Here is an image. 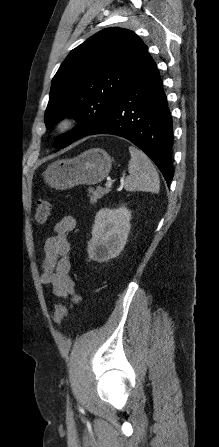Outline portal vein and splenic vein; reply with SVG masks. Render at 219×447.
Here are the masks:
<instances>
[{
  "instance_id": "obj_1",
  "label": "portal vein and splenic vein",
  "mask_w": 219,
  "mask_h": 447,
  "mask_svg": "<svg viewBox=\"0 0 219 447\" xmlns=\"http://www.w3.org/2000/svg\"><path fill=\"white\" fill-rule=\"evenodd\" d=\"M124 177V176H123ZM113 182L111 180H108L105 184L106 188H111L112 187Z\"/></svg>"
}]
</instances>
